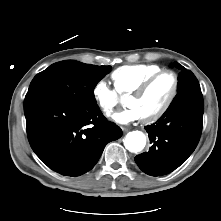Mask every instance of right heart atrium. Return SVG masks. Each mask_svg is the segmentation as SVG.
<instances>
[{"mask_svg":"<svg viewBox=\"0 0 221 221\" xmlns=\"http://www.w3.org/2000/svg\"><path fill=\"white\" fill-rule=\"evenodd\" d=\"M92 94L96 104L103 114L106 116L111 115L118 103L117 92L104 80H100L94 85Z\"/></svg>","mask_w":221,"mask_h":221,"instance_id":"obj_1","label":"right heart atrium"}]
</instances>
